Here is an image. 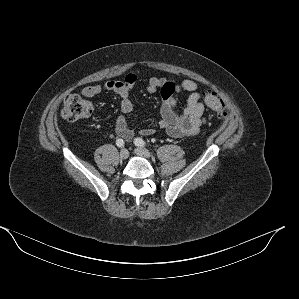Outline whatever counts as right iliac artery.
Wrapping results in <instances>:
<instances>
[{"label":"right iliac artery","instance_id":"1","mask_svg":"<svg viewBox=\"0 0 299 299\" xmlns=\"http://www.w3.org/2000/svg\"><path fill=\"white\" fill-rule=\"evenodd\" d=\"M116 145H117L118 147H123V146H124V141H123L122 139H117V140H116Z\"/></svg>","mask_w":299,"mask_h":299}]
</instances>
